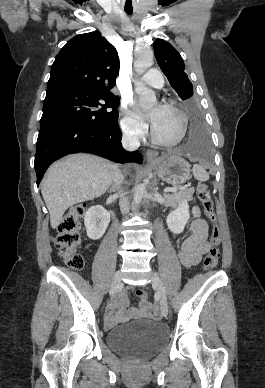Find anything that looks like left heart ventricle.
Segmentation results:
<instances>
[{
    "label": "left heart ventricle",
    "instance_id": "obj_1",
    "mask_svg": "<svg viewBox=\"0 0 265 388\" xmlns=\"http://www.w3.org/2000/svg\"><path fill=\"white\" fill-rule=\"evenodd\" d=\"M142 87H145L146 91H155L153 86H145L142 84ZM179 126L180 121L178 116L162 107L159 113V118L155 123L157 132L164 138H172L178 133Z\"/></svg>",
    "mask_w": 265,
    "mask_h": 388
}]
</instances>
